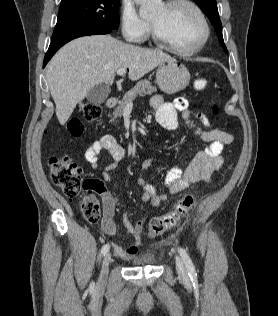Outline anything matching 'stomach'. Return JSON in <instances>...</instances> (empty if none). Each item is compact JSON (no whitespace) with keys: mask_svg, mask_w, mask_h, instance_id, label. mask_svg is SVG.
<instances>
[{"mask_svg":"<svg viewBox=\"0 0 278 316\" xmlns=\"http://www.w3.org/2000/svg\"><path fill=\"white\" fill-rule=\"evenodd\" d=\"M156 82L164 93L173 94L188 86L190 73L176 59H170L159 64L156 72Z\"/></svg>","mask_w":278,"mask_h":316,"instance_id":"1","label":"stomach"}]
</instances>
